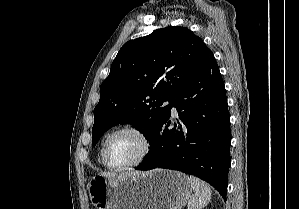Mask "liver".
<instances>
[{
	"label": "liver",
	"instance_id": "6515ba94",
	"mask_svg": "<svg viewBox=\"0 0 299 209\" xmlns=\"http://www.w3.org/2000/svg\"><path fill=\"white\" fill-rule=\"evenodd\" d=\"M133 174H141V172H136V171H129V172H124L122 174H120L119 176L117 177H125V176H128V175H133ZM103 176L105 177H113L115 178V175L112 174V173H103Z\"/></svg>",
	"mask_w": 299,
	"mask_h": 209
}]
</instances>
